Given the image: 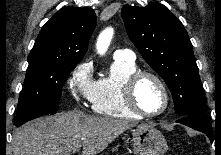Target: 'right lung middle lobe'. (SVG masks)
Segmentation results:
<instances>
[{
  "instance_id": "obj_1",
  "label": "right lung middle lobe",
  "mask_w": 221,
  "mask_h": 155,
  "mask_svg": "<svg viewBox=\"0 0 221 155\" xmlns=\"http://www.w3.org/2000/svg\"><path fill=\"white\" fill-rule=\"evenodd\" d=\"M28 63L15 126L42 115L55 114L62 86L77 65L55 60H28Z\"/></svg>"
}]
</instances>
